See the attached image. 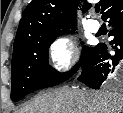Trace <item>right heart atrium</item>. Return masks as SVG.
Instances as JSON below:
<instances>
[{"instance_id": "1", "label": "right heart atrium", "mask_w": 123, "mask_h": 113, "mask_svg": "<svg viewBox=\"0 0 123 113\" xmlns=\"http://www.w3.org/2000/svg\"><path fill=\"white\" fill-rule=\"evenodd\" d=\"M50 64L58 76L69 74L79 60L78 46L71 34L54 38L49 44Z\"/></svg>"}]
</instances>
